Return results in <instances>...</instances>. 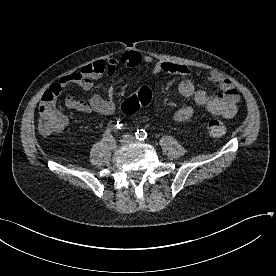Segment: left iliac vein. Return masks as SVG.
Returning <instances> with one entry per match:
<instances>
[{"label":"left iliac vein","instance_id":"obj_1","mask_svg":"<svg viewBox=\"0 0 276 276\" xmlns=\"http://www.w3.org/2000/svg\"><path fill=\"white\" fill-rule=\"evenodd\" d=\"M121 141L124 142V143H137V142H139L136 139V137H134L132 135H124Z\"/></svg>","mask_w":276,"mask_h":276}]
</instances>
